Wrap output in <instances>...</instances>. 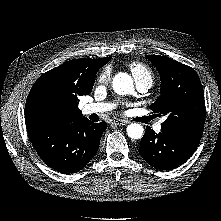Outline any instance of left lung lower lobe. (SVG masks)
Masks as SVG:
<instances>
[{
    "label": "left lung lower lobe",
    "instance_id": "obj_1",
    "mask_svg": "<svg viewBox=\"0 0 221 221\" xmlns=\"http://www.w3.org/2000/svg\"><path fill=\"white\" fill-rule=\"evenodd\" d=\"M198 143L199 141L163 131L156 134L147 127L138 151L152 167L170 170L186 162L195 152Z\"/></svg>",
    "mask_w": 221,
    "mask_h": 221
}]
</instances>
